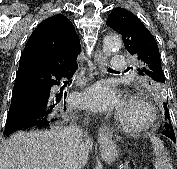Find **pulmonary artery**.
I'll return each mask as SVG.
<instances>
[{"mask_svg":"<svg viewBox=\"0 0 177 169\" xmlns=\"http://www.w3.org/2000/svg\"><path fill=\"white\" fill-rule=\"evenodd\" d=\"M126 65V59L123 56H114L111 60V68L114 70L123 69Z\"/></svg>","mask_w":177,"mask_h":169,"instance_id":"e3ab8cb5","label":"pulmonary artery"}]
</instances>
